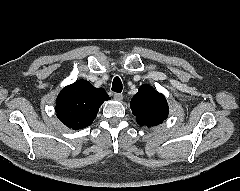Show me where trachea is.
Here are the masks:
<instances>
[{
    "label": "trachea",
    "mask_w": 240,
    "mask_h": 191,
    "mask_svg": "<svg viewBox=\"0 0 240 191\" xmlns=\"http://www.w3.org/2000/svg\"><path fill=\"white\" fill-rule=\"evenodd\" d=\"M112 91H114L116 93L122 92V82H121V79L118 76H116L113 79Z\"/></svg>",
    "instance_id": "trachea-1"
}]
</instances>
